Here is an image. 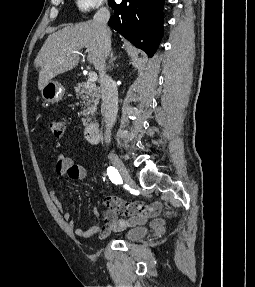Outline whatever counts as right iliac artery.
Masks as SVG:
<instances>
[{
    "mask_svg": "<svg viewBox=\"0 0 255 287\" xmlns=\"http://www.w3.org/2000/svg\"><path fill=\"white\" fill-rule=\"evenodd\" d=\"M107 174L109 179L112 181L114 184H121L122 183V178L118 172V170L115 167H108L107 168Z\"/></svg>",
    "mask_w": 255,
    "mask_h": 287,
    "instance_id": "right-iliac-artery-1",
    "label": "right iliac artery"
}]
</instances>
